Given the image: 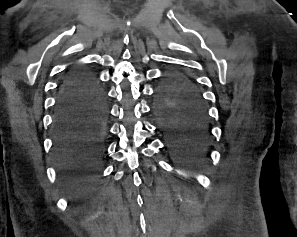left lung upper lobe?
Here are the masks:
<instances>
[{
  "label": "left lung upper lobe",
  "instance_id": "1",
  "mask_svg": "<svg viewBox=\"0 0 297 237\" xmlns=\"http://www.w3.org/2000/svg\"><path fill=\"white\" fill-rule=\"evenodd\" d=\"M185 101H197L204 105L203 97L195 83L181 72H173L160 85L157 105H175Z\"/></svg>",
  "mask_w": 297,
  "mask_h": 237
}]
</instances>
